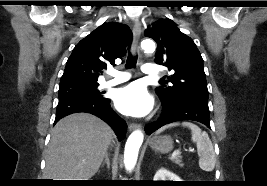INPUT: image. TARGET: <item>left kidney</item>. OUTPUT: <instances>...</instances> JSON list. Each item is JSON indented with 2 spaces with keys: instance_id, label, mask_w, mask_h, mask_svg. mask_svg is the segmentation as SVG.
I'll return each mask as SVG.
<instances>
[{
  "instance_id": "5707ae66",
  "label": "left kidney",
  "mask_w": 267,
  "mask_h": 186,
  "mask_svg": "<svg viewBox=\"0 0 267 186\" xmlns=\"http://www.w3.org/2000/svg\"><path fill=\"white\" fill-rule=\"evenodd\" d=\"M153 181H181V179L176 174L162 168L156 172Z\"/></svg>"
}]
</instances>
